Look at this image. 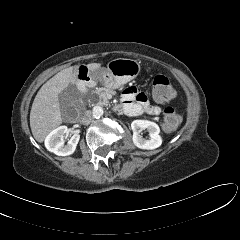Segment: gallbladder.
<instances>
[{
    "instance_id": "gallbladder-1",
    "label": "gallbladder",
    "mask_w": 240,
    "mask_h": 240,
    "mask_svg": "<svg viewBox=\"0 0 240 240\" xmlns=\"http://www.w3.org/2000/svg\"><path fill=\"white\" fill-rule=\"evenodd\" d=\"M79 98V93L73 85H69L59 94V103L63 113L73 108Z\"/></svg>"
}]
</instances>
